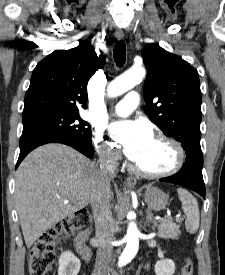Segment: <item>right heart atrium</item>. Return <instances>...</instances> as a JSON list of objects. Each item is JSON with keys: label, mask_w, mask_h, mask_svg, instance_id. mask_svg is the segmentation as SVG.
I'll list each match as a JSON object with an SVG mask.
<instances>
[{"label": "right heart atrium", "mask_w": 225, "mask_h": 275, "mask_svg": "<svg viewBox=\"0 0 225 275\" xmlns=\"http://www.w3.org/2000/svg\"><path fill=\"white\" fill-rule=\"evenodd\" d=\"M94 145L98 150L100 156L106 163L117 164L119 161V155L108 142L101 130H96L93 137Z\"/></svg>", "instance_id": "right-heart-atrium-1"}]
</instances>
